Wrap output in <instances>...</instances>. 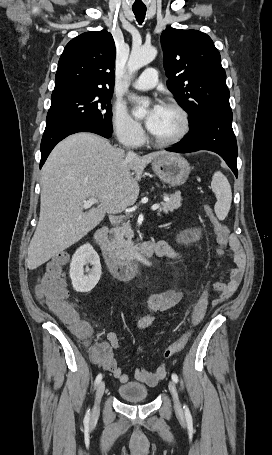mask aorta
<instances>
[{
    "label": "aorta",
    "instance_id": "aorta-1",
    "mask_svg": "<svg viewBox=\"0 0 272 455\" xmlns=\"http://www.w3.org/2000/svg\"><path fill=\"white\" fill-rule=\"evenodd\" d=\"M157 55V49L153 46H142L139 48H133L128 60L127 68L128 72L131 75L135 71L139 70L143 66L149 64L155 59ZM132 99H137L135 96H131ZM149 102L144 101L141 106H138L134 111L133 115L137 119H143L146 114V107H148Z\"/></svg>",
    "mask_w": 272,
    "mask_h": 455
}]
</instances>
